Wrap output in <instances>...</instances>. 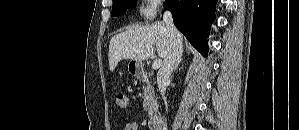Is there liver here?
Wrapping results in <instances>:
<instances>
[{"label":"liver","mask_w":299,"mask_h":130,"mask_svg":"<svg viewBox=\"0 0 299 130\" xmlns=\"http://www.w3.org/2000/svg\"><path fill=\"white\" fill-rule=\"evenodd\" d=\"M164 58L170 49L168 31L164 23L158 22L143 27H132L113 36L109 44V68L113 72L123 59L143 61L155 53Z\"/></svg>","instance_id":"liver-1"}]
</instances>
